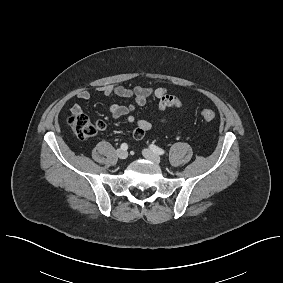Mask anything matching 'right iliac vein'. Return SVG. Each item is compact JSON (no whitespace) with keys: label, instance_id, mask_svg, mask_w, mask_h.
<instances>
[{"label":"right iliac vein","instance_id":"63e3f726","mask_svg":"<svg viewBox=\"0 0 283 283\" xmlns=\"http://www.w3.org/2000/svg\"><path fill=\"white\" fill-rule=\"evenodd\" d=\"M117 156H118L120 159H126L127 156H128V153H127L126 150L118 149V150H117Z\"/></svg>","mask_w":283,"mask_h":283}]
</instances>
